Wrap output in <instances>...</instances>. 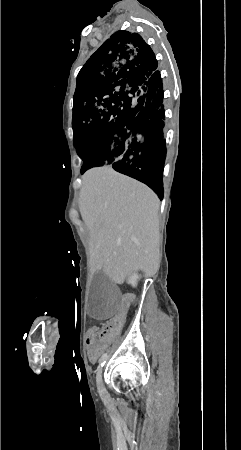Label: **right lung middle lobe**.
Segmentation results:
<instances>
[{"label":"right lung middle lobe","mask_w":241,"mask_h":450,"mask_svg":"<svg viewBox=\"0 0 241 450\" xmlns=\"http://www.w3.org/2000/svg\"><path fill=\"white\" fill-rule=\"evenodd\" d=\"M145 105L144 98L125 96L113 85L77 80L72 121L74 139L77 141L78 135L87 133L82 147L88 144L79 152L84 162L82 174L92 167L112 165L143 141L142 135L130 134L110 142L99 158H89L105 136L141 115Z\"/></svg>","instance_id":"obj_1"}]
</instances>
